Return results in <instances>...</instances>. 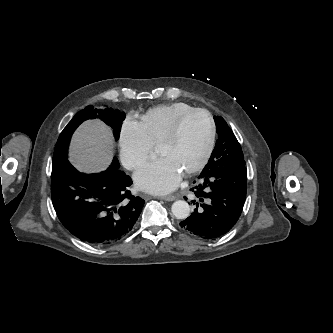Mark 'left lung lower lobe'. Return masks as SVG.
<instances>
[{
	"instance_id": "obj_1",
	"label": "left lung lower lobe",
	"mask_w": 333,
	"mask_h": 333,
	"mask_svg": "<svg viewBox=\"0 0 333 333\" xmlns=\"http://www.w3.org/2000/svg\"><path fill=\"white\" fill-rule=\"evenodd\" d=\"M191 191L196 198L193 213L181 227L203 239H215L227 233L238 221L247 192L245 166L202 171Z\"/></svg>"
}]
</instances>
